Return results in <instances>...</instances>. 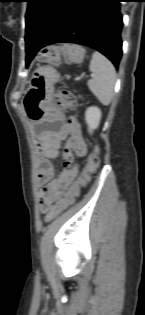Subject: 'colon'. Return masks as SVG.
Masks as SVG:
<instances>
[{"label":"colon","instance_id":"obj_1","mask_svg":"<svg viewBox=\"0 0 145 315\" xmlns=\"http://www.w3.org/2000/svg\"><path fill=\"white\" fill-rule=\"evenodd\" d=\"M83 55V49L77 46H53L43 49L40 53V59L46 63L58 64L62 60L78 62L83 58ZM54 102L56 106L61 109H70L74 105V96L69 91L58 90L54 94ZM99 164L100 158L98 152L93 150L89 154L87 166L81 180L74 184L64 197L53 205L48 214L49 220L60 215L75 202L79 192V186L88 179L89 174L93 173L98 168Z\"/></svg>","mask_w":145,"mask_h":315}]
</instances>
